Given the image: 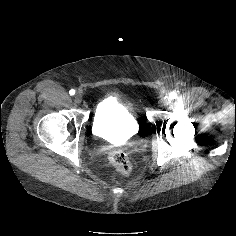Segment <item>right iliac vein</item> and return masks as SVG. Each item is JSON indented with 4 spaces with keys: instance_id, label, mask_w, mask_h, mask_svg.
<instances>
[{
    "instance_id": "right-iliac-vein-1",
    "label": "right iliac vein",
    "mask_w": 236,
    "mask_h": 236,
    "mask_svg": "<svg viewBox=\"0 0 236 236\" xmlns=\"http://www.w3.org/2000/svg\"><path fill=\"white\" fill-rule=\"evenodd\" d=\"M74 101L77 103V104H80L82 102V96L81 94L77 93L74 97Z\"/></svg>"
}]
</instances>
